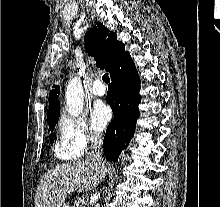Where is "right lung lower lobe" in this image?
Masks as SVG:
<instances>
[{
    "instance_id": "right-lung-lower-lobe-1",
    "label": "right lung lower lobe",
    "mask_w": 220,
    "mask_h": 207,
    "mask_svg": "<svg viewBox=\"0 0 220 207\" xmlns=\"http://www.w3.org/2000/svg\"><path fill=\"white\" fill-rule=\"evenodd\" d=\"M110 75L112 83L107 101L114 112V119L107 127L103 147L106 158L117 161L131 140L139 117L140 79L129 53L114 65Z\"/></svg>"
}]
</instances>
